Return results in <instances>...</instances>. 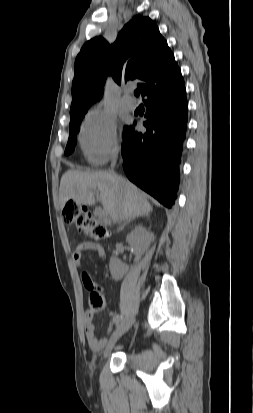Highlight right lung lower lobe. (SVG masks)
Instances as JSON below:
<instances>
[{
	"mask_svg": "<svg viewBox=\"0 0 253 413\" xmlns=\"http://www.w3.org/2000/svg\"><path fill=\"white\" fill-rule=\"evenodd\" d=\"M144 104L148 107L143 123L147 131L139 133L130 126L123 133V169L133 183L171 208L177 196L187 124L185 86L154 94Z\"/></svg>",
	"mask_w": 253,
	"mask_h": 413,
	"instance_id": "1",
	"label": "right lung lower lobe"
}]
</instances>
